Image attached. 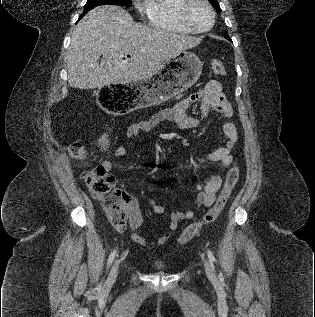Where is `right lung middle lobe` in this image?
I'll use <instances>...</instances> for the list:
<instances>
[{
  "mask_svg": "<svg viewBox=\"0 0 315 317\" xmlns=\"http://www.w3.org/2000/svg\"><path fill=\"white\" fill-rule=\"evenodd\" d=\"M106 4H111V5H122V6H131V0H88L87 3L84 6V13H87L91 9H93L96 6L100 5H106ZM82 15V16H83Z\"/></svg>",
  "mask_w": 315,
  "mask_h": 317,
  "instance_id": "right-lung-middle-lobe-1",
  "label": "right lung middle lobe"
}]
</instances>
